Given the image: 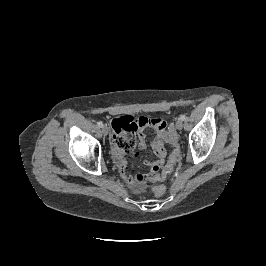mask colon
I'll return each instance as SVG.
<instances>
[{
	"label": "colon",
	"instance_id": "1",
	"mask_svg": "<svg viewBox=\"0 0 266 266\" xmlns=\"http://www.w3.org/2000/svg\"><path fill=\"white\" fill-rule=\"evenodd\" d=\"M169 143L172 145L173 150L168 158L167 164L164 167L161 174H153L149 177V179L159 181L166 178V176L172 171L178 155H179V146L177 143L176 134L173 130H169ZM166 192V187L164 185H157L153 187V193L155 196H162Z\"/></svg>",
	"mask_w": 266,
	"mask_h": 266
}]
</instances>
